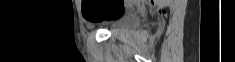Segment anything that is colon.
I'll return each mask as SVG.
<instances>
[{
	"mask_svg": "<svg viewBox=\"0 0 235 62\" xmlns=\"http://www.w3.org/2000/svg\"><path fill=\"white\" fill-rule=\"evenodd\" d=\"M129 3L130 1L127 0H109L101 6L95 0H83V15L89 22L115 18L125 12Z\"/></svg>",
	"mask_w": 235,
	"mask_h": 62,
	"instance_id": "1",
	"label": "colon"
}]
</instances>
